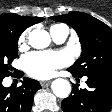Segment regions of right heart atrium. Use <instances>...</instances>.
<instances>
[{"label":"right heart atrium","instance_id":"obj_1","mask_svg":"<svg viewBox=\"0 0 112 112\" xmlns=\"http://www.w3.org/2000/svg\"><path fill=\"white\" fill-rule=\"evenodd\" d=\"M27 36H28V31H24L20 37H19V40H18V44H19V48L20 49H23L26 45V41H27Z\"/></svg>","mask_w":112,"mask_h":112}]
</instances>
